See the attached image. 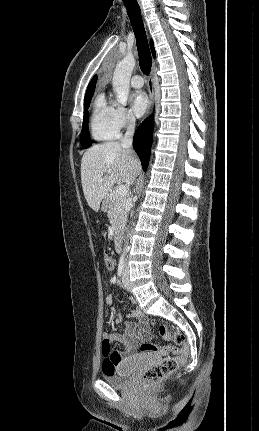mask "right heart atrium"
<instances>
[{"label":"right heart atrium","mask_w":259,"mask_h":431,"mask_svg":"<svg viewBox=\"0 0 259 431\" xmlns=\"http://www.w3.org/2000/svg\"><path fill=\"white\" fill-rule=\"evenodd\" d=\"M112 120L119 131L125 128H130L135 123L132 113L122 106L113 108Z\"/></svg>","instance_id":"1"}]
</instances>
